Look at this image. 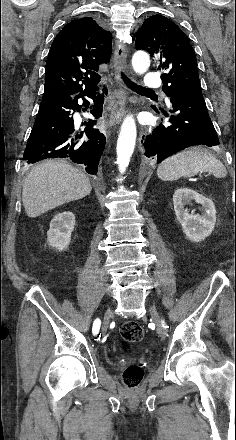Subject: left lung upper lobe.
<instances>
[{
    "instance_id": "left-lung-upper-lobe-1",
    "label": "left lung upper lobe",
    "mask_w": 236,
    "mask_h": 440,
    "mask_svg": "<svg viewBox=\"0 0 236 440\" xmlns=\"http://www.w3.org/2000/svg\"><path fill=\"white\" fill-rule=\"evenodd\" d=\"M136 49L147 51L160 64L163 91L170 97L189 86H200L195 52L183 31L168 18L153 15L136 37Z\"/></svg>"
}]
</instances>
